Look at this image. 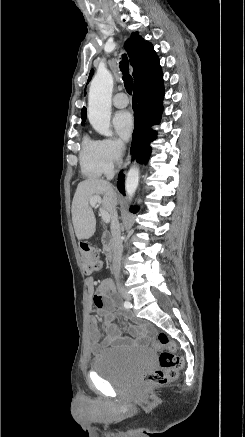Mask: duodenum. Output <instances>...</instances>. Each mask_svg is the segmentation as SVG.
<instances>
[{
	"instance_id": "duodenum-1",
	"label": "duodenum",
	"mask_w": 245,
	"mask_h": 437,
	"mask_svg": "<svg viewBox=\"0 0 245 437\" xmlns=\"http://www.w3.org/2000/svg\"><path fill=\"white\" fill-rule=\"evenodd\" d=\"M103 253L107 261L112 260V250H111V235L108 232H104L102 236Z\"/></svg>"
}]
</instances>
